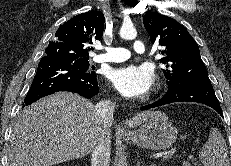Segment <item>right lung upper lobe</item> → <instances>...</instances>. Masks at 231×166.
Masks as SVG:
<instances>
[{
  "instance_id": "right-lung-upper-lobe-1",
  "label": "right lung upper lobe",
  "mask_w": 231,
  "mask_h": 166,
  "mask_svg": "<svg viewBox=\"0 0 231 166\" xmlns=\"http://www.w3.org/2000/svg\"><path fill=\"white\" fill-rule=\"evenodd\" d=\"M104 14L90 11L76 15L64 23L55 34V39L46 48V57L88 59V52L95 40H100L104 30Z\"/></svg>"
}]
</instances>
